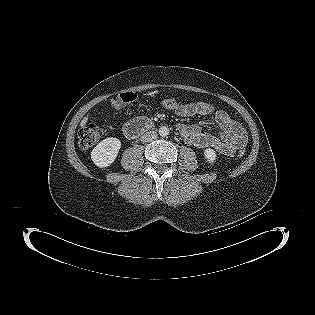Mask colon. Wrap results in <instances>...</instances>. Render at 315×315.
<instances>
[{"mask_svg":"<svg viewBox=\"0 0 315 315\" xmlns=\"http://www.w3.org/2000/svg\"><path fill=\"white\" fill-rule=\"evenodd\" d=\"M138 98L135 92H121L114 95L110 101L112 108H119L125 104L134 102ZM178 101L173 98H166L161 101V104L167 108L172 109L178 105ZM103 128L95 123H89L79 132V144L82 149H89L94 146L102 137ZM238 159L243 160L247 156L246 150L239 149L236 153Z\"/></svg>","mask_w":315,"mask_h":315,"instance_id":"colon-1","label":"colon"}]
</instances>
